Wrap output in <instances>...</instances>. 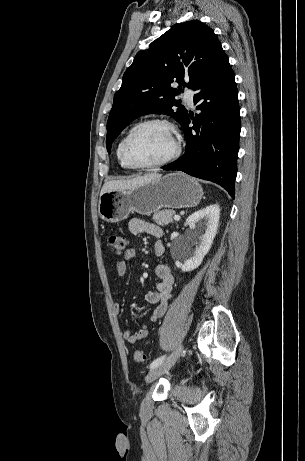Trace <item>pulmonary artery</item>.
<instances>
[{
    "label": "pulmonary artery",
    "mask_w": 305,
    "mask_h": 461,
    "mask_svg": "<svg viewBox=\"0 0 305 461\" xmlns=\"http://www.w3.org/2000/svg\"><path fill=\"white\" fill-rule=\"evenodd\" d=\"M194 95H195V92L193 90L191 89L185 90L184 99L190 106H193Z\"/></svg>",
    "instance_id": "e3ab8cb5"
}]
</instances>
